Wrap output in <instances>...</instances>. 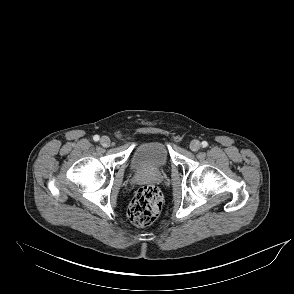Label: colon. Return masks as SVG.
<instances>
[{
  "label": "colon",
  "mask_w": 294,
  "mask_h": 294,
  "mask_svg": "<svg viewBox=\"0 0 294 294\" xmlns=\"http://www.w3.org/2000/svg\"><path fill=\"white\" fill-rule=\"evenodd\" d=\"M162 194L154 185L141 187L128 207V218L136 226H147L159 216L162 207Z\"/></svg>",
  "instance_id": "5ec220e1"
}]
</instances>
